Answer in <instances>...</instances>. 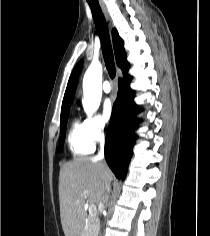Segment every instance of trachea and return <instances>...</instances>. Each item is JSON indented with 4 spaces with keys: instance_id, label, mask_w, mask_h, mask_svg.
Listing matches in <instances>:
<instances>
[{
    "instance_id": "obj_1",
    "label": "trachea",
    "mask_w": 210,
    "mask_h": 236,
    "mask_svg": "<svg viewBox=\"0 0 210 236\" xmlns=\"http://www.w3.org/2000/svg\"><path fill=\"white\" fill-rule=\"evenodd\" d=\"M87 1L92 11L95 26L101 40L105 65L109 73V76L113 79L115 77L116 71H115L114 56L107 23L98 1L97 0H87Z\"/></svg>"
}]
</instances>
